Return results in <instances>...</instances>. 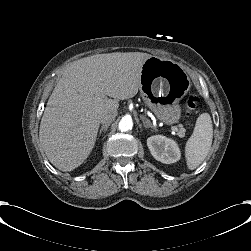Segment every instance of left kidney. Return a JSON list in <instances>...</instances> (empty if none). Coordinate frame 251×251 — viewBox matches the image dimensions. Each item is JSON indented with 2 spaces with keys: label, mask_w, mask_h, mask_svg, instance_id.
I'll return each mask as SVG.
<instances>
[{
  "label": "left kidney",
  "mask_w": 251,
  "mask_h": 251,
  "mask_svg": "<svg viewBox=\"0 0 251 251\" xmlns=\"http://www.w3.org/2000/svg\"><path fill=\"white\" fill-rule=\"evenodd\" d=\"M147 146L152 156L162 163L171 164L180 160L181 153L178 144L163 135L149 137Z\"/></svg>",
  "instance_id": "5707ae66"
}]
</instances>
